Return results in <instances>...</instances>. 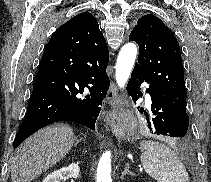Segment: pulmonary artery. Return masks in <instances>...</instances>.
I'll return each instance as SVG.
<instances>
[{
  "instance_id": "e3ab8cb5",
  "label": "pulmonary artery",
  "mask_w": 211,
  "mask_h": 182,
  "mask_svg": "<svg viewBox=\"0 0 211 182\" xmlns=\"http://www.w3.org/2000/svg\"><path fill=\"white\" fill-rule=\"evenodd\" d=\"M146 99H147V102H149V103L151 102L150 95H147V96H146Z\"/></svg>"
}]
</instances>
